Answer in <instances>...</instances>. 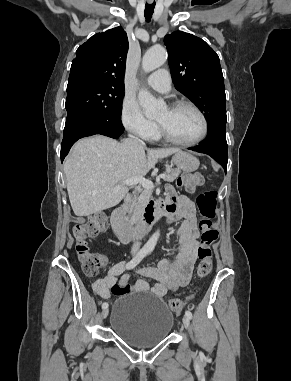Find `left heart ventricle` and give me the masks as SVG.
Here are the masks:
<instances>
[{"label": "left heart ventricle", "mask_w": 291, "mask_h": 381, "mask_svg": "<svg viewBox=\"0 0 291 381\" xmlns=\"http://www.w3.org/2000/svg\"><path fill=\"white\" fill-rule=\"evenodd\" d=\"M173 137L182 141L195 139L201 132L202 122L199 115L190 108L162 110L156 118Z\"/></svg>", "instance_id": "1"}]
</instances>
